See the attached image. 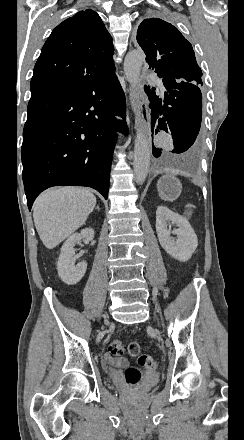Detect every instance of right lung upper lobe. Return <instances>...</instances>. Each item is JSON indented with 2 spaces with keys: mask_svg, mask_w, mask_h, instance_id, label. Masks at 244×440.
I'll list each match as a JSON object with an SVG mask.
<instances>
[{
  "mask_svg": "<svg viewBox=\"0 0 244 440\" xmlns=\"http://www.w3.org/2000/svg\"><path fill=\"white\" fill-rule=\"evenodd\" d=\"M112 38L99 15L87 9L59 24L35 64L31 93L67 86L114 69Z\"/></svg>",
  "mask_w": 244,
  "mask_h": 440,
  "instance_id": "1",
  "label": "right lung upper lobe"
}]
</instances>
